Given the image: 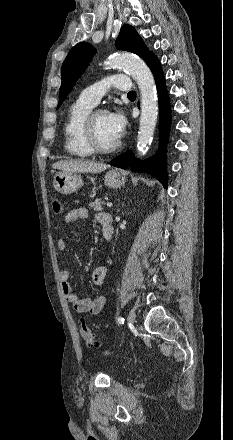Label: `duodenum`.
Wrapping results in <instances>:
<instances>
[{
	"instance_id": "1",
	"label": "duodenum",
	"mask_w": 233,
	"mask_h": 440,
	"mask_svg": "<svg viewBox=\"0 0 233 440\" xmlns=\"http://www.w3.org/2000/svg\"><path fill=\"white\" fill-rule=\"evenodd\" d=\"M102 232H103V236L104 238L109 241L112 238V233H113V222H112V217L111 216H106L103 220H102Z\"/></svg>"
}]
</instances>
